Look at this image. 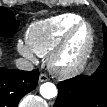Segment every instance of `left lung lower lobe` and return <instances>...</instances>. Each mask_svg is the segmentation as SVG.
<instances>
[{"label": "left lung lower lobe", "mask_w": 107, "mask_h": 107, "mask_svg": "<svg viewBox=\"0 0 107 107\" xmlns=\"http://www.w3.org/2000/svg\"><path fill=\"white\" fill-rule=\"evenodd\" d=\"M54 107H107V59L92 76L60 82Z\"/></svg>", "instance_id": "0a47b994"}]
</instances>
